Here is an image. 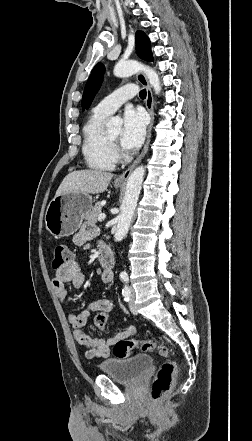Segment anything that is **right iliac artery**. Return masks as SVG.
I'll return each mask as SVG.
<instances>
[{
  "label": "right iliac artery",
  "instance_id": "obj_1",
  "mask_svg": "<svg viewBox=\"0 0 252 441\" xmlns=\"http://www.w3.org/2000/svg\"><path fill=\"white\" fill-rule=\"evenodd\" d=\"M123 295H124V300L125 301H129V298H130V290H129V288L127 287V286H125L124 287V289H123Z\"/></svg>",
  "mask_w": 252,
  "mask_h": 441
}]
</instances>
